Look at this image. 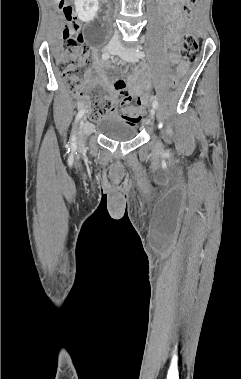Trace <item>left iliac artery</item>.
<instances>
[{"label":"left iliac artery","instance_id":"1","mask_svg":"<svg viewBox=\"0 0 241 379\" xmlns=\"http://www.w3.org/2000/svg\"><path fill=\"white\" fill-rule=\"evenodd\" d=\"M136 55L138 58H144L145 53L141 50L140 46L136 49ZM154 101L152 103V106L156 109L158 107V101L156 100V97H153Z\"/></svg>","mask_w":241,"mask_h":379}]
</instances>
